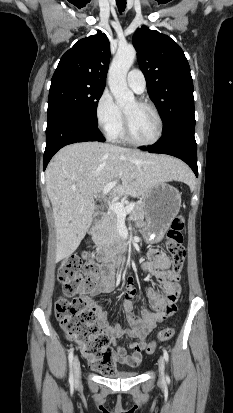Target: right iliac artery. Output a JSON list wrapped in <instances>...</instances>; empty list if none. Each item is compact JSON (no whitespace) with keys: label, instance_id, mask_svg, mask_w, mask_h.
<instances>
[{"label":"right iliac artery","instance_id":"82829eb1","mask_svg":"<svg viewBox=\"0 0 233 413\" xmlns=\"http://www.w3.org/2000/svg\"><path fill=\"white\" fill-rule=\"evenodd\" d=\"M68 359H69V365H70L69 384L70 386H73L74 384V377H73V372H72L73 349L70 350Z\"/></svg>","mask_w":233,"mask_h":413}]
</instances>
